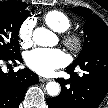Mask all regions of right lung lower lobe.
Returning <instances> with one entry per match:
<instances>
[{"instance_id": "obj_1", "label": "right lung lower lobe", "mask_w": 108, "mask_h": 108, "mask_svg": "<svg viewBox=\"0 0 108 108\" xmlns=\"http://www.w3.org/2000/svg\"><path fill=\"white\" fill-rule=\"evenodd\" d=\"M3 61L22 62V57L21 54L11 58L0 57V64ZM38 81L37 74L27 68L17 72L4 73L0 67V108H18L27 88Z\"/></svg>"}]
</instances>
